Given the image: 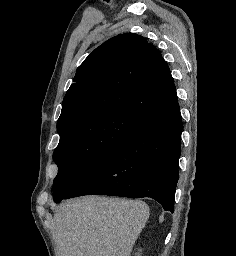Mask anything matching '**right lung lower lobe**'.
<instances>
[{
	"instance_id": "98d812e1",
	"label": "right lung lower lobe",
	"mask_w": 236,
	"mask_h": 256,
	"mask_svg": "<svg viewBox=\"0 0 236 256\" xmlns=\"http://www.w3.org/2000/svg\"><path fill=\"white\" fill-rule=\"evenodd\" d=\"M182 128L176 102L144 121L64 199L90 194L150 197L174 212Z\"/></svg>"
}]
</instances>
